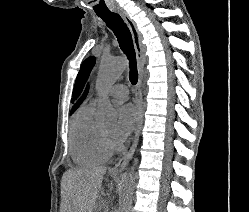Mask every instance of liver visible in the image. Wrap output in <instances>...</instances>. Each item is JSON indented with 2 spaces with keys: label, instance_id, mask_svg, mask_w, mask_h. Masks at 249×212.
Wrapping results in <instances>:
<instances>
[{
  "label": "liver",
  "instance_id": "liver-1",
  "mask_svg": "<svg viewBox=\"0 0 249 212\" xmlns=\"http://www.w3.org/2000/svg\"><path fill=\"white\" fill-rule=\"evenodd\" d=\"M106 170L104 166H86L65 172L67 212H93Z\"/></svg>",
  "mask_w": 249,
  "mask_h": 212
}]
</instances>
